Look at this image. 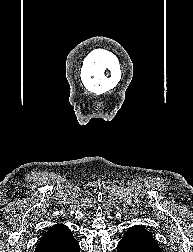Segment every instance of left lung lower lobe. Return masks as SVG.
<instances>
[{"mask_svg": "<svg viewBox=\"0 0 193 252\" xmlns=\"http://www.w3.org/2000/svg\"><path fill=\"white\" fill-rule=\"evenodd\" d=\"M117 252H161L155 239L140 225L130 227L118 243Z\"/></svg>", "mask_w": 193, "mask_h": 252, "instance_id": "0a47b994", "label": "left lung lower lobe"}]
</instances>
